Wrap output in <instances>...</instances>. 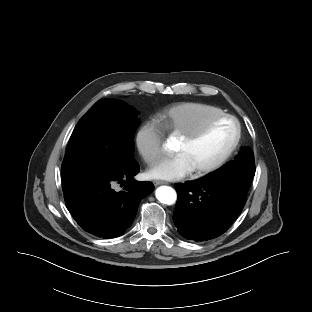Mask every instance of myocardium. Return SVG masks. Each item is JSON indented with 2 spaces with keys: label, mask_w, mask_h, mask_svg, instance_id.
<instances>
[{
  "label": "myocardium",
  "mask_w": 312,
  "mask_h": 312,
  "mask_svg": "<svg viewBox=\"0 0 312 312\" xmlns=\"http://www.w3.org/2000/svg\"><path fill=\"white\" fill-rule=\"evenodd\" d=\"M223 119H228V120H231L235 123L236 128H237L236 137H235L234 141L232 142L231 146L228 148V150L219 159H217L215 162H213L212 164H210L208 166L194 170V173L197 176L206 175L208 173H211V172L217 170L231 157V155L234 153V151L236 150V148H237V146L241 140V136H242L241 123L235 116H233L231 114H227V113H222V114H219V115H216V116H213V117L207 119L196 130H194L188 134L182 135V139L185 142H195L198 139H200L214 123H216L220 120H223Z\"/></svg>",
  "instance_id": "1"
}]
</instances>
